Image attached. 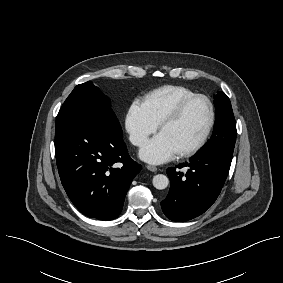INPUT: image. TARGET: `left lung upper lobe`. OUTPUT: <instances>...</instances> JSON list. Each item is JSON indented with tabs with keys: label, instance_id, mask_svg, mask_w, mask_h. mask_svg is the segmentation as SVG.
<instances>
[{
	"label": "left lung upper lobe",
	"instance_id": "obj_1",
	"mask_svg": "<svg viewBox=\"0 0 283 283\" xmlns=\"http://www.w3.org/2000/svg\"><path fill=\"white\" fill-rule=\"evenodd\" d=\"M216 121L213 135L201 151H220L233 156L236 141V122L230 100L224 92H218L214 100Z\"/></svg>",
	"mask_w": 283,
	"mask_h": 283
}]
</instances>
